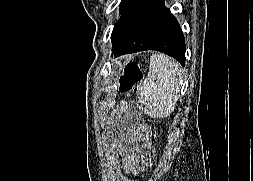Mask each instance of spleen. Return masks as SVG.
<instances>
[{
    "mask_svg": "<svg viewBox=\"0 0 253 181\" xmlns=\"http://www.w3.org/2000/svg\"><path fill=\"white\" fill-rule=\"evenodd\" d=\"M183 70L172 58L153 54L149 73L140 89V103L144 112L153 118L169 116L178 100Z\"/></svg>",
    "mask_w": 253,
    "mask_h": 181,
    "instance_id": "1",
    "label": "spleen"
}]
</instances>
